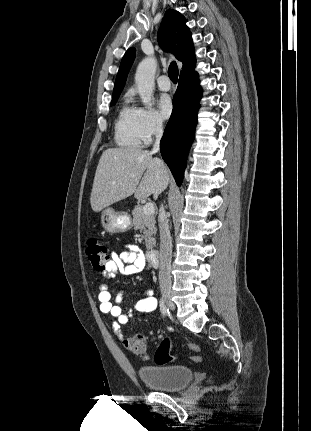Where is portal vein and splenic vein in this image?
I'll use <instances>...</instances> for the list:
<instances>
[{
  "mask_svg": "<svg viewBox=\"0 0 311 431\" xmlns=\"http://www.w3.org/2000/svg\"><path fill=\"white\" fill-rule=\"evenodd\" d=\"M154 210L153 204H145V206H143L144 214H154Z\"/></svg>",
  "mask_w": 311,
  "mask_h": 431,
  "instance_id": "obj_1",
  "label": "portal vein and splenic vein"
}]
</instances>
